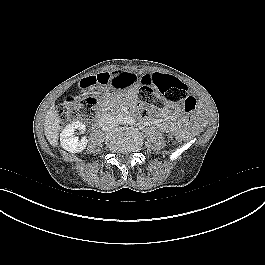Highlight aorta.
<instances>
[{"label": "aorta", "mask_w": 265, "mask_h": 265, "mask_svg": "<svg viewBox=\"0 0 265 265\" xmlns=\"http://www.w3.org/2000/svg\"><path fill=\"white\" fill-rule=\"evenodd\" d=\"M117 120H118V121H121V118H118Z\"/></svg>", "instance_id": "aorta-1"}]
</instances>
